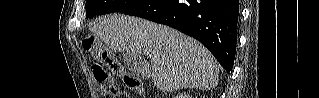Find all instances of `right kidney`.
Here are the masks:
<instances>
[{"mask_svg": "<svg viewBox=\"0 0 319 98\" xmlns=\"http://www.w3.org/2000/svg\"><path fill=\"white\" fill-rule=\"evenodd\" d=\"M179 98H189V96L188 95H184V94H182L181 96H179Z\"/></svg>", "mask_w": 319, "mask_h": 98, "instance_id": "obj_1", "label": "right kidney"}]
</instances>
